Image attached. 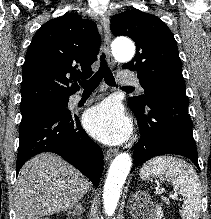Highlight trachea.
Wrapping results in <instances>:
<instances>
[{"label":"trachea","mask_w":211,"mask_h":219,"mask_svg":"<svg viewBox=\"0 0 211 219\" xmlns=\"http://www.w3.org/2000/svg\"><path fill=\"white\" fill-rule=\"evenodd\" d=\"M100 61H101V64H100L99 70L89 80L79 82L81 87H83L84 92L94 91L98 87V85L100 84L102 79H104L105 82L109 86H115L116 85L114 76L112 74V71L110 70V68L107 65L104 54L101 55ZM123 89L134 90V88L131 87V86L123 87Z\"/></svg>","instance_id":"1"}]
</instances>
